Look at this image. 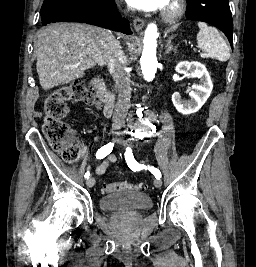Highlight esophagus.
<instances>
[{
    "instance_id": "34e87169",
    "label": "esophagus",
    "mask_w": 256,
    "mask_h": 267,
    "mask_svg": "<svg viewBox=\"0 0 256 267\" xmlns=\"http://www.w3.org/2000/svg\"><path fill=\"white\" fill-rule=\"evenodd\" d=\"M144 20L142 18H135L133 20V26L136 32H139L144 27Z\"/></svg>"
}]
</instances>
